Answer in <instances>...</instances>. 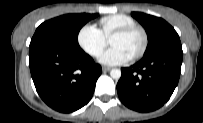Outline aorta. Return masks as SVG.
<instances>
[{"label":"aorta","mask_w":203,"mask_h":123,"mask_svg":"<svg viewBox=\"0 0 203 123\" xmlns=\"http://www.w3.org/2000/svg\"><path fill=\"white\" fill-rule=\"evenodd\" d=\"M110 76L115 79L118 80L121 77V70L120 69H112L110 71Z\"/></svg>","instance_id":"aorta-1"}]
</instances>
